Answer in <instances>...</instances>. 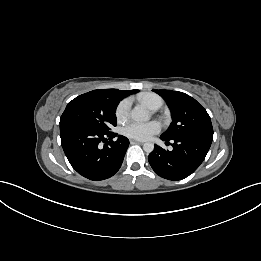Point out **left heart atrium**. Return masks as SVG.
I'll return each instance as SVG.
<instances>
[{"label": "left heart atrium", "mask_w": 261, "mask_h": 261, "mask_svg": "<svg viewBox=\"0 0 261 261\" xmlns=\"http://www.w3.org/2000/svg\"><path fill=\"white\" fill-rule=\"evenodd\" d=\"M160 130V124L156 121L150 122H131L125 126L123 133L125 136L136 139L146 140Z\"/></svg>", "instance_id": "1"}]
</instances>
